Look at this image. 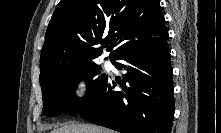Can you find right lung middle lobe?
<instances>
[{"label": "right lung middle lobe", "mask_w": 221, "mask_h": 133, "mask_svg": "<svg viewBox=\"0 0 221 133\" xmlns=\"http://www.w3.org/2000/svg\"><path fill=\"white\" fill-rule=\"evenodd\" d=\"M107 79L108 76L103 74L102 68L94 62L50 66L40 75L43 114L50 117L63 112L77 115ZM80 80L87 82V93L82 99L74 95Z\"/></svg>", "instance_id": "obj_1"}]
</instances>
